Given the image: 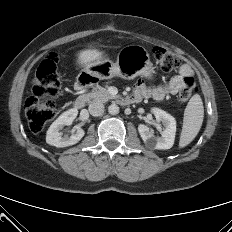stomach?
<instances>
[{
    "instance_id": "stomach-1",
    "label": "stomach",
    "mask_w": 232,
    "mask_h": 232,
    "mask_svg": "<svg viewBox=\"0 0 232 232\" xmlns=\"http://www.w3.org/2000/svg\"><path fill=\"white\" fill-rule=\"evenodd\" d=\"M153 74L154 68L148 51L143 46L130 45L120 50L115 63L104 59L85 67L77 76V83L91 86L99 80L115 76L125 79L143 76L151 79Z\"/></svg>"
}]
</instances>
